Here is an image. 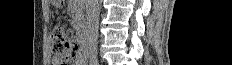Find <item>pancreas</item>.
Listing matches in <instances>:
<instances>
[{"label":"pancreas","mask_w":232,"mask_h":65,"mask_svg":"<svg viewBox=\"0 0 232 65\" xmlns=\"http://www.w3.org/2000/svg\"><path fill=\"white\" fill-rule=\"evenodd\" d=\"M74 2V1H73ZM73 11V10H72ZM74 12V11H73ZM76 29H80L79 23L74 24Z\"/></svg>","instance_id":"1"}]
</instances>
